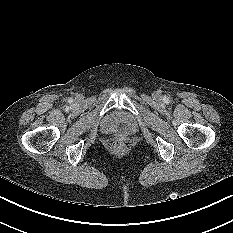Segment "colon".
Returning a JSON list of instances; mask_svg holds the SVG:
<instances>
[{"label": "colon", "mask_w": 233, "mask_h": 233, "mask_svg": "<svg viewBox=\"0 0 233 233\" xmlns=\"http://www.w3.org/2000/svg\"><path fill=\"white\" fill-rule=\"evenodd\" d=\"M123 148H124V145H123L122 142L116 141V142L113 143V149L115 151H121Z\"/></svg>", "instance_id": "colon-1"}]
</instances>
